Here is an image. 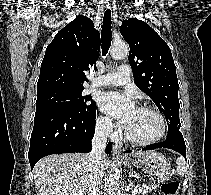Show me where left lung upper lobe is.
Segmentation results:
<instances>
[{
	"mask_svg": "<svg viewBox=\"0 0 211 195\" xmlns=\"http://www.w3.org/2000/svg\"><path fill=\"white\" fill-rule=\"evenodd\" d=\"M120 33L130 45L129 64L136 85L165 115L168 135L178 132L179 84L169 46L147 23L136 18L123 20Z\"/></svg>",
	"mask_w": 211,
	"mask_h": 195,
	"instance_id": "1",
	"label": "left lung upper lobe"
}]
</instances>
